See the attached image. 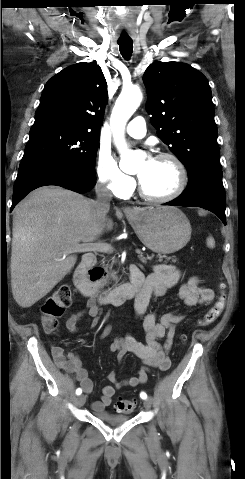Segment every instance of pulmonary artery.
I'll return each instance as SVG.
<instances>
[{
  "label": "pulmonary artery",
  "mask_w": 245,
  "mask_h": 479,
  "mask_svg": "<svg viewBox=\"0 0 245 479\" xmlns=\"http://www.w3.org/2000/svg\"><path fill=\"white\" fill-rule=\"evenodd\" d=\"M127 133L134 138H142L146 134V125L142 117L133 118L126 127Z\"/></svg>",
  "instance_id": "pulmonary-artery-1"
}]
</instances>
